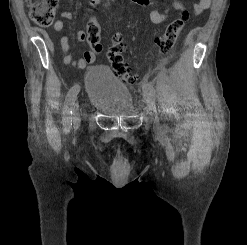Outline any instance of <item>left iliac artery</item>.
I'll return each instance as SVG.
<instances>
[{
    "label": "left iliac artery",
    "instance_id": "obj_1",
    "mask_svg": "<svg viewBox=\"0 0 247 245\" xmlns=\"http://www.w3.org/2000/svg\"><path fill=\"white\" fill-rule=\"evenodd\" d=\"M142 87H143V90H144L147 94L152 95V96L155 95V89H154V87H153V85H152L151 83H149V82H144L143 85H142Z\"/></svg>",
    "mask_w": 247,
    "mask_h": 245
}]
</instances>
